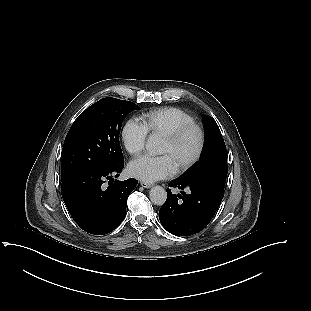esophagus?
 <instances>
[{"label":"esophagus","instance_id":"34e87169","mask_svg":"<svg viewBox=\"0 0 311 311\" xmlns=\"http://www.w3.org/2000/svg\"><path fill=\"white\" fill-rule=\"evenodd\" d=\"M140 185H141L143 188H150V187H152V184L147 183V182H144V181L140 182Z\"/></svg>","mask_w":311,"mask_h":311}]
</instances>
